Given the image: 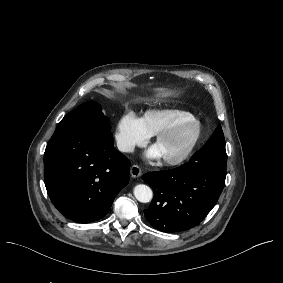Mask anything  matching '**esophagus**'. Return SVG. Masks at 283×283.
<instances>
[{
    "mask_svg": "<svg viewBox=\"0 0 283 283\" xmlns=\"http://www.w3.org/2000/svg\"><path fill=\"white\" fill-rule=\"evenodd\" d=\"M131 176L134 178H138L142 175V170L138 165H133L130 168Z\"/></svg>",
    "mask_w": 283,
    "mask_h": 283,
    "instance_id": "34e87169",
    "label": "esophagus"
}]
</instances>
